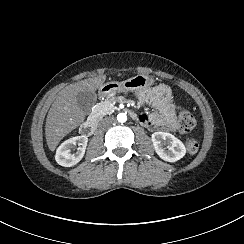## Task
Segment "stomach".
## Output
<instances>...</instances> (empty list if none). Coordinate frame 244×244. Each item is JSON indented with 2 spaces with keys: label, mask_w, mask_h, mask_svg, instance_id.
I'll return each instance as SVG.
<instances>
[{
  "label": "stomach",
  "mask_w": 244,
  "mask_h": 244,
  "mask_svg": "<svg viewBox=\"0 0 244 244\" xmlns=\"http://www.w3.org/2000/svg\"><path fill=\"white\" fill-rule=\"evenodd\" d=\"M145 84L139 76L129 78L122 82L111 81L101 84L99 94L102 96L114 95L116 92L134 91L141 88Z\"/></svg>",
  "instance_id": "stomach-1"
}]
</instances>
